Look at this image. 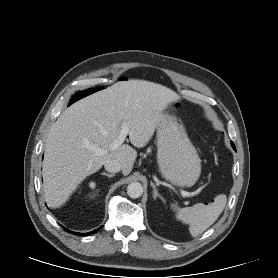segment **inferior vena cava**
<instances>
[{
	"label": "inferior vena cava",
	"instance_id": "602c4592",
	"mask_svg": "<svg viewBox=\"0 0 278 278\" xmlns=\"http://www.w3.org/2000/svg\"><path fill=\"white\" fill-rule=\"evenodd\" d=\"M104 167L106 171L111 173H117L122 170V165L114 160H108L105 162Z\"/></svg>",
	"mask_w": 278,
	"mask_h": 278
}]
</instances>
